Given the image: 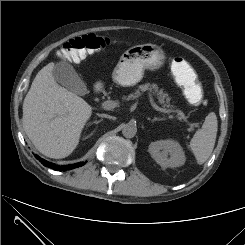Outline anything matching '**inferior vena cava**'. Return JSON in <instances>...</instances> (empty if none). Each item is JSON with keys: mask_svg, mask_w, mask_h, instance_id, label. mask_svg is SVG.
<instances>
[{"mask_svg": "<svg viewBox=\"0 0 245 245\" xmlns=\"http://www.w3.org/2000/svg\"><path fill=\"white\" fill-rule=\"evenodd\" d=\"M99 117H102V118H109V119H115V117H112L110 115H107V114H98Z\"/></svg>", "mask_w": 245, "mask_h": 245, "instance_id": "obj_1", "label": "inferior vena cava"}]
</instances>
